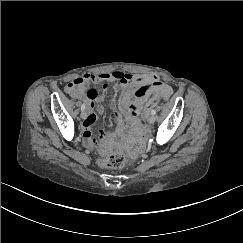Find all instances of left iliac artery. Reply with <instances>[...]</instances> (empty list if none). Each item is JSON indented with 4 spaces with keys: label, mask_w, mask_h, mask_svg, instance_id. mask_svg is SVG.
Returning a JSON list of instances; mask_svg holds the SVG:
<instances>
[{
    "label": "left iliac artery",
    "mask_w": 243,
    "mask_h": 243,
    "mask_svg": "<svg viewBox=\"0 0 243 243\" xmlns=\"http://www.w3.org/2000/svg\"><path fill=\"white\" fill-rule=\"evenodd\" d=\"M151 114H152V115H155V114H156V110H152V111H151Z\"/></svg>",
    "instance_id": "1"
}]
</instances>
